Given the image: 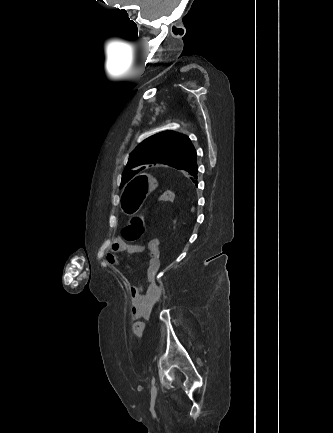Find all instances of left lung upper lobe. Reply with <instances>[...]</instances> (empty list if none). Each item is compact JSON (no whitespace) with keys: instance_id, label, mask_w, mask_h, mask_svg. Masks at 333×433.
<instances>
[{"instance_id":"obj_1","label":"left lung upper lobe","mask_w":333,"mask_h":433,"mask_svg":"<svg viewBox=\"0 0 333 433\" xmlns=\"http://www.w3.org/2000/svg\"><path fill=\"white\" fill-rule=\"evenodd\" d=\"M196 160V150L187 136L174 131L157 133L130 154L121 187L147 164H164L183 170Z\"/></svg>"}]
</instances>
